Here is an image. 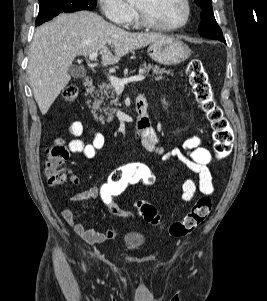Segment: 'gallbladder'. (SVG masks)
I'll return each mask as SVG.
<instances>
[{
    "mask_svg": "<svg viewBox=\"0 0 267 301\" xmlns=\"http://www.w3.org/2000/svg\"><path fill=\"white\" fill-rule=\"evenodd\" d=\"M68 72L74 79H81L86 76V70L78 65H71Z\"/></svg>",
    "mask_w": 267,
    "mask_h": 301,
    "instance_id": "1",
    "label": "gallbladder"
}]
</instances>
